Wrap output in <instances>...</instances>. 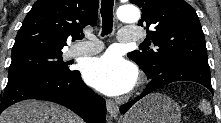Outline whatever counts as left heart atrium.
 Returning a JSON list of instances; mask_svg holds the SVG:
<instances>
[{"label":"left heart atrium","instance_id":"1","mask_svg":"<svg viewBox=\"0 0 221 123\" xmlns=\"http://www.w3.org/2000/svg\"><path fill=\"white\" fill-rule=\"evenodd\" d=\"M137 72L134 66L115 52L91 58L83 67L84 80L95 89L108 95L129 91L134 85Z\"/></svg>","mask_w":221,"mask_h":123}]
</instances>
